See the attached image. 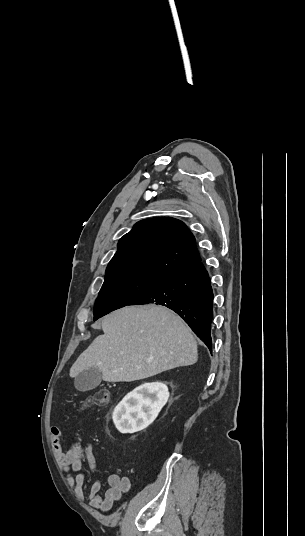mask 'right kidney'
Instances as JSON below:
<instances>
[{
	"label": "right kidney",
	"mask_w": 305,
	"mask_h": 536,
	"mask_svg": "<svg viewBox=\"0 0 305 536\" xmlns=\"http://www.w3.org/2000/svg\"><path fill=\"white\" fill-rule=\"evenodd\" d=\"M169 398L166 384L150 382L125 396L113 412V422L121 434H134L150 426Z\"/></svg>",
	"instance_id": "ca27d5eb"
}]
</instances>
